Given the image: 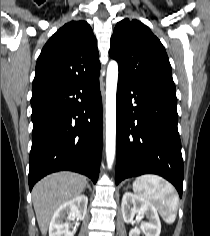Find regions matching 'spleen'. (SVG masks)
<instances>
[{"label": "spleen", "mask_w": 210, "mask_h": 236, "mask_svg": "<svg viewBox=\"0 0 210 236\" xmlns=\"http://www.w3.org/2000/svg\"><path fill=\"white\" fill-rule=\"evenodd\" d=\"M133 190L142 199L152 203L166 223L175 221L179 198L170 183L157 175L146 174L135 179Z\"/></svg>", "instance_id": "spleen-1"}]
</instances>
